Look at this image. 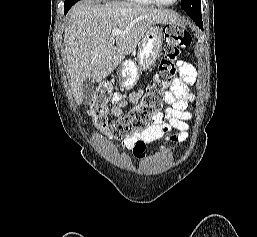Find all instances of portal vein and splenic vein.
Listing matches in <instances>:
<instances>
[{
  "instance_id": "18ae733b",
  "label": "portal vein and splenic vein",
  "mask_w": 257,
  "mask_h": 237,
  "mask_svg": "<svg viewBox=\"0 0 257 237\" xmlns=\"http://www.w3.org/2000/svg\"><path fill=\"white\" fill-rule=\"evenodd\" d=\"M121 33H123V31H121V30H119V29H113V30H112V40H114V38H115L117 35L121 34Z\"/></svg>"
}]
</instances>
